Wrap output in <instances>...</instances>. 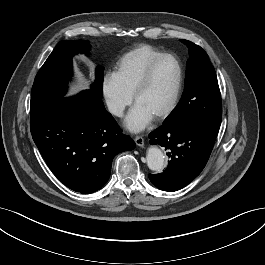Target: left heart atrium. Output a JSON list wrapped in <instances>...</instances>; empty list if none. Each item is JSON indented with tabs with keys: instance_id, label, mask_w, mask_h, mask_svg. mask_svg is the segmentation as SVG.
<instances>
[{
	"instance_id": "1",
	"label": "left heart atrium",
	"mask_w": 265,
	"mask_h": 265,
	"mask_svg": "<svg viewBox=\"0 0 265 265\" xmlns=\"http://www.w3.org/2000/svg\"><path fill=\"white\" fill-rule=\"evenodd\" d=\"M152 119L150 113L135 104L125 119V125L132 132H140L151 123Z\"/></svg>"
}]
</instances>
